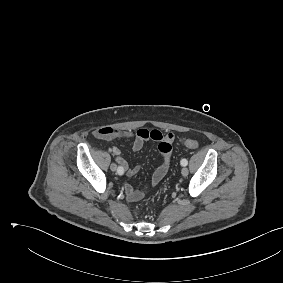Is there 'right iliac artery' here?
Returning <instances> with one entry per match:
<instances>
[{
	"label": "right iliac artery",
	"mask_w": 283,
	"mask_h": 283,
	"mask_svg": "<svg viewBox=\"0 0 283 283\" xmlns=\"http://www.w3.org/2000/svg\"><path fill=\"white\" fill-rule=\"evenodd\" d=\"M122 172H123V169L121 168V167H118V174H122Z\"/></svg>",
	"instance_id": "82829eb1"
}]
</instances>
